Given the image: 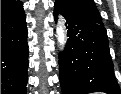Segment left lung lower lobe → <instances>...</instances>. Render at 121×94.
<instances>
[{"instance_id": "obj_1", "label": "left lung lower lobe", "mask_w": 121, "mask_h": 94, "mask_svg": "<svg viewBox=\"0 0 121 94\" xmlns=\"http://www.w3.org/2000/svg\"><path fill=\"white\" fill-rule=\"evenodd\" d=\"M58 15L65 18L69 37L59 54L62 94H121L113 73L105 27L68 13L55 2L56 21Z\"/></svg>"}]
</instances>
